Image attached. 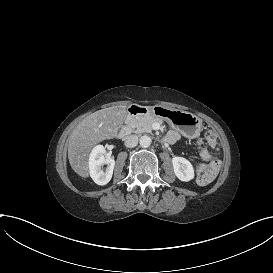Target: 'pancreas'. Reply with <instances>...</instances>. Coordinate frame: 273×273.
<instances>
[{"instance_id":"cf45deb5","label":"pancreas","mask_w":273,"mask_h":273,"mask_svg":"<svg viewBox=\"0 0 273 273\" xmlns=\"http://www.w3.org/2000/svg\"><path fill=\"white\" fill-rule=\"evenodd\" d=\"M154 123H158L160 128L165 130H169V127L165 125V122L162 118L156 116H139L136 118L128 117L126 120V124H130L133 129H135V133H151L152 126Z\"/></svg>"}]
</instances>
